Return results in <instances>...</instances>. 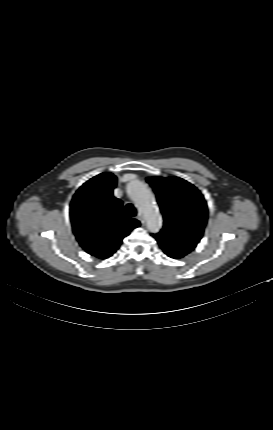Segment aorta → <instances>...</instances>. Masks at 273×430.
<instances>
[{"mask_svg":"<svg viewBox=\"0 0 273 430\" xmlns=\"http://www.w3.org/2000/svg\"><path fill=\"white\" fill-rule=\"evenodd\" d=\"M129 195L143 214L147 228L151 232L159 231L163 221L151 189L142 181L136 180L129 187Z\"/></svg>","mask_w":273,"mask_h":430,"instance_id":"762f6f07","label":"aorta"}]
</instances>
